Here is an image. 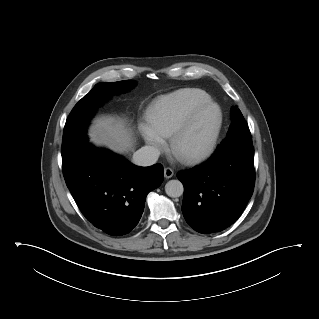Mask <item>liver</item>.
Instances as JSON below:
<instances>
[{"instance_id": "liver-1", "label": "liver", "mask_w": 319, "mask_h": 319, "mask_svg": "<svg viewBox=\"0 0 319 319\" xmlns=\"http://www.w3.org/2000/svg\"><path fill=\"white\" fill-rule=\"evenodd\" d=\"M90 141L105 145L117 153L129 152L134 144L131 131L121 118L103 116L96 119L89 129Z\"/></svg>"}]
</instances>
